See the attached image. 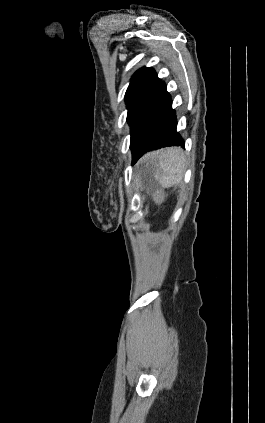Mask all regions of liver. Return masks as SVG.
Here are the masks:
<instances>
[{
    "mask_svg": "<svg viewBox=\"0 0 265 423\" xmlns=\"http://www.w3.org/2000/svg\"><path fill=\"white\" fill-rule=\"evenodd\" d=\"M143 163L158 167L160 172L155 175L160 186L170 188L181 182L185 170L186 160L183 150L179 147L163 148L148 155ZM156 204L164 201L165 195L161 190L152 195Z\"/></svg>",
    "mask_w": 265,
    "mask_h": 423,
    "instance_id": "1",
    "label": "liver"
}]
</instances>
